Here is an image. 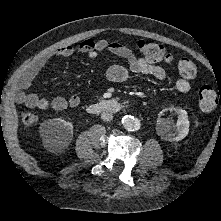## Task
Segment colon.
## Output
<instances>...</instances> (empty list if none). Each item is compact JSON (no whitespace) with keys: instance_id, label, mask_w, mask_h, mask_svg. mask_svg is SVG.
Wrapping results in <instances>:
<instances>
[{"instance_id":"5ec220e1","label":"colon","mask_w":221,"mask_h":221,"mask_svg":"<svg viewBox=\"0 0 221 221\" xmlns=\"http://www.w3.org/2000/svg\"><path fill=\"white\" fill-rule=\"evenodd\" d=\"M140 53L149 62H165L172 64L175 62L174 57L167 53L164 47L159 43L147 42L141 40L138 42ZM179 74L185 79H194L198 74L197 65L188 58L177 60ZM221 102L216 91L210 86H203L199 90V107L203 112H208L216 108ZM21 124L25 128L34 127L39 120L38 113L32 110L24 111L20 116Z\"/></svg>"}]
</instances>
